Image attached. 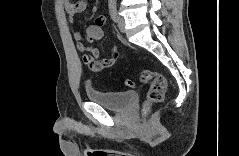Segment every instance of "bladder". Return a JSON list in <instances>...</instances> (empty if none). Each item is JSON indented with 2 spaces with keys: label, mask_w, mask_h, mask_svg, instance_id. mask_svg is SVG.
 <instances>
[{
  "label": "bladder",
  "mask_w": 239,
  "mask_h": 156,
  "mask_svg": "<svg viewBox=\"0 0 239 156\" xmlns=\"http://www.w3.org/2000/svg\"><path fill=\"white\" fill-rule=\"evenodd\" d=\"M86 98L93 103L99 104L105 109L112 111L126 110L134 100L135 93L126 92H110L95 89L93 87L86 88Z\"/></svg>",
  "instance_id": "1"
}]
</instances>
